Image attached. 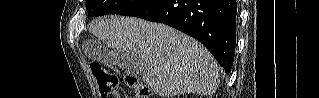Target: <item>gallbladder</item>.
I'll return each mask as SVG.
<instances>
[{
    "label": "gallbladder",
    "instance_id": "bac80fb5",
    "mask_svg": "<svg viewBox=\"0 0 319 98\" xmlns=\"http://www.w3.org/2000/svg\"><path fill=\"white\" fill-rule=\"evenodd\" d=\"M86 53L90 58L101 60L103 63H108L117 66L128 73H139V59L125 50L111 51L103 45H95V49H87Z\"/></svg>",
    "mask_w": 319,
    "mask_h": 98
}]
</instances>
